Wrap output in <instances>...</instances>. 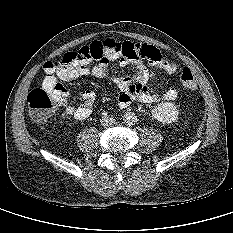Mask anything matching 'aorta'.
Segmentation results:
<instances>
[{"mask_svg": "<svg viewBox=\"0 0 233 233\" xmlns=\"http://www.w3.org/2000/svg\"><path fill=\"white\" fill-rule=\"evenodd\" d=\"M124 122L128 125H134L137 122V116L134 112H126L123 116Z\"/></svg>", "mask_w": 233, "mask_h": 233, "instance_id": "aorta-1", "label": "aorta"}]
</instances>
